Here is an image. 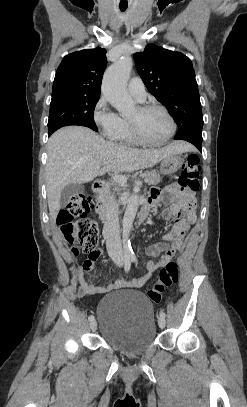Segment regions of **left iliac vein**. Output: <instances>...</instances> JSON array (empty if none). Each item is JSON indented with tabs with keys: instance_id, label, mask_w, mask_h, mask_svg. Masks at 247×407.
<instances>
[{
	"instance_id": "obj_1",
	"label": "left iliac vein",
	"mask_w": 247,
	"mask_h": 407,
	"mask_svg": "<svg viewBox=\"0 0 247 407\" xmlns=\"http://www.w3.org/2000/svg\"><path fill=\"white\" fill-rule=\"evenodd\" d=\"M165 324H166L165 318L160 317V318L158 319V325H159V327H160V328H164V327H165Z\"/></svg>"
}]
</instances>
